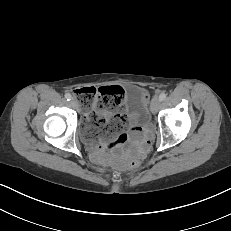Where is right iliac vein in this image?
<instances>
[{"label":"right iliac vein","instance_id":"1","mask_svg":"<svg viewBox=\"0 0 231 231\" xmlns=\"http://www.w3.org/2000/svg\"><path fill=\"white\" fill-rule=\"evenodd\" d=\"M70 105H71L74 109H78V107H79V104H78L77 100H75V99H72V100L70 101Z\"/></svg>","mask_w":231,"mask_h":231}]
</instances>
